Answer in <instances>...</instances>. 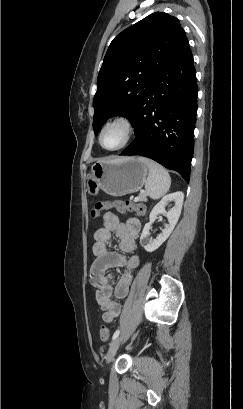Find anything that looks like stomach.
Wrapping results in <instances>:
<instances>
[{
  "label": "stomach",
  "instance_id": "0dacf381",
  "mask_svg": "<svg viewBox=\"0 0 243 409\" xmlns=\"http://www.w3.org/2000/svg\"><path fill=\"white\" fill-rule=\"evenodd\" d=\"M148 167L133 157H122L92 165L86 189L91 196L100 190L120 197L139 191L147 181Z\"/></svg>",
  "mask_w": 243,
  "mask_h": 409
}]
</instances>
